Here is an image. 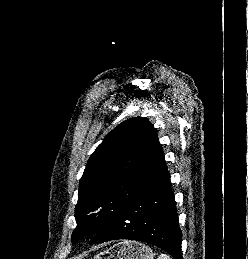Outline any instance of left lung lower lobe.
Instances as JSON below:
<instances>
[{"label": "left lung lower lobe", "mask_w": 248, "mask_h": 259, "mask_svg": "<svg viewBox=\"0 0 248 259\" xmlns=\"http://www.w3.org/2000/svg\"><path fill=\"white\" fill-rule=\"evenodd\" d=\"M181 237L170 175L167 173L161 182L129 204L97 233L90 245L116 239L137 240L160 247L175 259H182Z\"/></svg>", "instance_id": "obj_1"}]
</instances>
